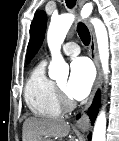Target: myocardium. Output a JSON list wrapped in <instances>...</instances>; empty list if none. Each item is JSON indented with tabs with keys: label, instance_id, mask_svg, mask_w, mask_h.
<instances>
[{
	"label": "myocardium",
	"instance_id": "1",
	"mask_svg": "<svg viewBox=\"0 0 119 141\" xmlns=\"http://www.w3.org/2000/svg\"><path fill=\"white\" fill-rule=\"evenodd\" d=\"M56 97L59 103V106L62 110H71L73 108L72 101L66 96L64 90L58 85H55Z\"/></svg>",
	"mask_w": 119,
	"mask_h": 141
}]
</instances>
